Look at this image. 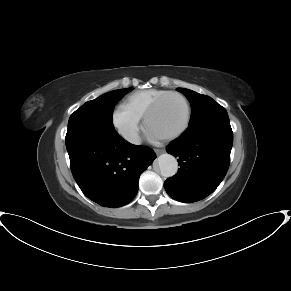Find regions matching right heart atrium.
<instances>
[{
    "instance_id": "obj_1",
    "label": "right heart atrium",
    "mask_w": 291,
    "mask_h": 291,
    "mask_svg": "<svg viewBox=\"0 0 291 291\" xmlns=\"http://www.w3.org/2000/svg\"><path fill=\"white\" fill-rule=\"evenodd\" d=\"M112 124L126 141L131 143L137 141L141 129V117L126 105L120 104L115 107Z\"/></svg>"
}]
</instances>
